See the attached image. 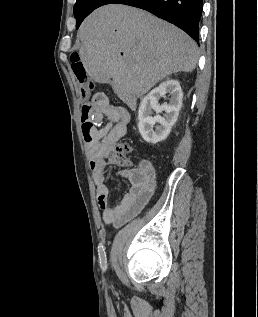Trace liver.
I'll return each instance as SVG.
<instances>
[{
  "label": "liver",
  "instance_id": "liver-1",
  "mask_svg": "<svg viewBox=\"0 0 258 317\" xmlns=\"http://www.w3.org/2000/svg\"><path fill=\"white\" fill-rule=\"evenodd\" d=\"M83 66L126 100L142 96L172 72L194 70L198 46L184 30L126 4L93 10L78 30Z\"/></svg>",
  "mask_w": 258,
  "mask_h": 317
}]
</instances>
